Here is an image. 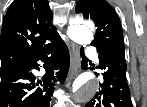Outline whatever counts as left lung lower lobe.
Masks as SVG:
<instances>
[{"label":"left lung lower lobe","mask_w":147,"mask_h":107,"mask_svg":"<svg viewBox=\"0 0 147 107\" xmlns=\"http://www.w3.org/2000/svg\"><path fill=\"white\" fill-rule=\"evenodd\" d=\"M82 68L86 69L88 59L81 52ZM100 66L105 70L104 82L86 107H133L126 80L125 47L117 45L99 51Z\"/></svg>","instance_id":"left-lung-lower-lobe-1"}]
</instances>
